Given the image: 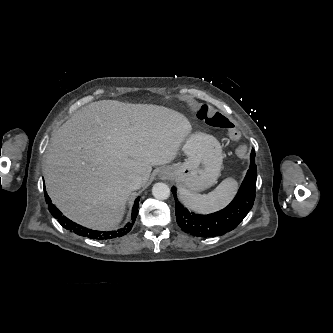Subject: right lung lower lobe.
Wrapping results in <instances>:
<instances>
[{"instance_id": "right-lung-lower-lobe-1", "label": "right lung lower lobe", "mask_w": 333, "mask_h": 333, "mask_svg": "<svg viewBox=\"0 0 333 333\" xmlns=\"http://www.w3.org/2000/svg\"><path fill=\"white\" fill-rule=\"evenodd\" d=\"M45 199L47 204L49 205V211L51 212L52 216L58 220V222L67 230L74 232L80 236L88 237L91 239H97V240H107V239H112V238H117L121 237L125 234H127L137 217L138 214V204H139V199L138 197L135 200L133 209H132V217H131V222H128L125 227L120 228L118 230L114 231H96V230H91L88 228H85L81 225L76 224L75 222L69 220L67 217L63 216L62 213L51 203V200L47 193L45 192Z\"/></svg>"}]
</instances>
